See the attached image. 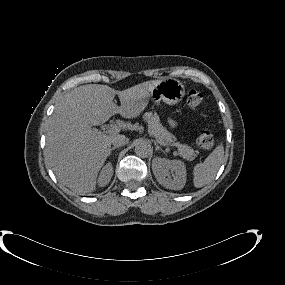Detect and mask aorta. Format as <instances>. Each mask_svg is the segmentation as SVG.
Listing matches in <instances>:
<instances>
[{"mask_svg": "<svg viewBox=\"0 0 285 285\" xmlns=\"http://www.w3.org/2000/svg\"><path fill=\"white\" fill-rule=\"evenodd\" d=\"M152 148L151 145L144 141L138 140L135 144V153L137 156L145 158L151 154Z\"/></svg>", "mask_w": 285, "mask_h": 285, "instance_id": "obj_1", "label": "aorta"}]
</instances>
